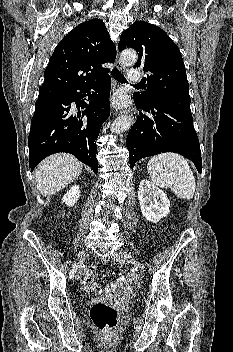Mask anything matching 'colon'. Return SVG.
I'll list each match as a JSON object with an SVG mask.
<instances>
[{"instance_id":"obj_1","label":"colon","mask_w":233,"mask_h":352,"mask_svg":"<svg viewBox=\"0 0 233 352\" xmlns=\"http://www.w3.org/2000/svg\"><path fill=\"white\" fill-rule=\"evenodd\" d=\"M95 285V271L88 269L83 278V290L86 293H91ZM90 318L97 329L108 332L117 325L118 313L112 306L103 302H96L90 309Z\"/></svg>"}]
</instances>
